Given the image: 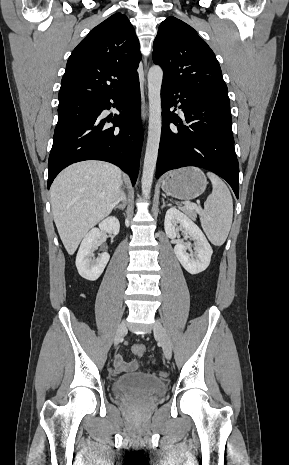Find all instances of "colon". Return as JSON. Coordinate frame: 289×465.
Masks as SVG:
<instances>
[{
    "label": "colon",
    "mask_w": 289,
    "mask_h": 465,
    "mask_svg": "<svg viewBox=\"0 0 289 465\" xmlns=\"http://www.w3.org/2000/svg\"><path fill=\"white\" fill-rule=\"evenodd\" d=\"M132 351H133L135 354H142V353L145 351V346L142 345V344H135V345H133V347H132Z\"/></svg>",
    "instance_id": "5ec220e1"
}]
</instances>
